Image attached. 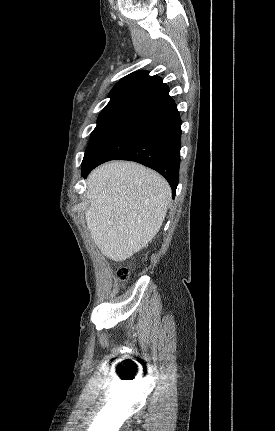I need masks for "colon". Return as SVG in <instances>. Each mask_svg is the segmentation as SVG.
Wrapping results in <instances>:
<instances>
[{
    "instance_id": "1",
    "label": "colon",
    "mask_w": 275,
    "mask_h": 431,
    "mask_svg": "<svg viewBox=\"0 0 275 431\" xmlns=\"http://www.w3.org/2000/svg\"><path fill=\"white\" fill-rule=\"evenodd\" d=\"M130 271L127 267H121L117 270L116 276L119 281L123 284L129 278Z\"/></svg>"
}]
</instances>
